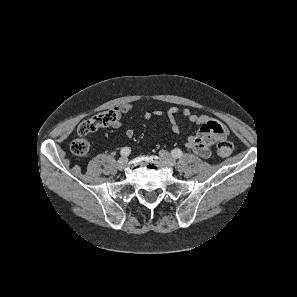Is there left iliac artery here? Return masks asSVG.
<instances>
[{
	"mask_svg": "<svg viewBox=\"0 0 297 297\" xmlns=\"http://www.w3.org/2000/svg\"><path fill=\"white\" fill-rule=\"evenodd\" d=\"M171 154H172V156L175 157V158H181V157L183 156V152H182V150H180V149H178V148L172 150V151H171Z\"/></svg>",
	"mask_w": 297,
	"mask_h": 297,
	"instance_id": "left-iliac-artery-1",
	"label": "left iliac artery"
}]
</instances>
